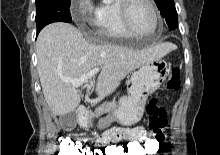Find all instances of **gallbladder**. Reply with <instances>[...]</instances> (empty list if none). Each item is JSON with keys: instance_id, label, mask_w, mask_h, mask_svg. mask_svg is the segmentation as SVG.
Masks as SVG:
<instances>
[{"instance_id": "gallbladder-1", "label": "gallbladder", "mask_w": 220, "mask_h": 155, "mask_svg": "<svg viewBox=\"0 0 220 155\" xmlns=\"http://www.w3.org/2000/svg\"><path fill=\"white\" fill-rule=\"evenodd\" d=\"M69 122V124H68ZM62 123H63V126L64 128L68 129V130H71L73 128H75L76 126V123H77V114L75 111L67 114V115H64L62 117Z\"/></svg>"}]
</instances>
